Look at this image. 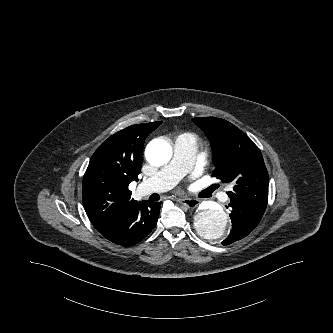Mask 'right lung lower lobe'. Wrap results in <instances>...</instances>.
<instances>
[{
  "label": "right lung lower lobe",
  "mask_w": 333,
  "mask_h": 333,
  "mask_svg": "<svg viewBox=\"0 0 333 333\" xmlns=\"http://www.w3.org/2000/svg\"><path fill=\"white\" fill-rule=\"evenodd\" d=\"M160 205V202H135L99 232L115 244L132 246L143 240L154 229L158 221Z\"/></svg>",
  "instance_id": "98d812e1"
}]
</instances>
